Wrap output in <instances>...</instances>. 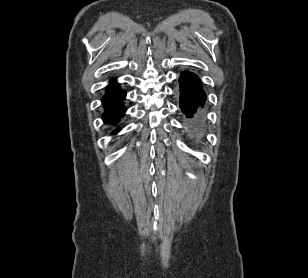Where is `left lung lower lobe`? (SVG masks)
<instances>
[{
	"mask_svg": "<svg viewBox=\"0 0 308 278\" xmlns=\"http://www.w3.org/2000/svg\"><path fill=\"white\" fill-rule=\"evenodd\" d=\"M180 82V107L187 118L190 119V130L197 134V121L199 109L203 107L206 94L203 91L199 78L189 72L181 73Z\"/></svg>",
	"mask_w": 308,
	"mask_h": 278,
	"instance_id": "left-lung-lower-lobe-1",
	"label": "left lung lower lobe"
}]
</instances>
